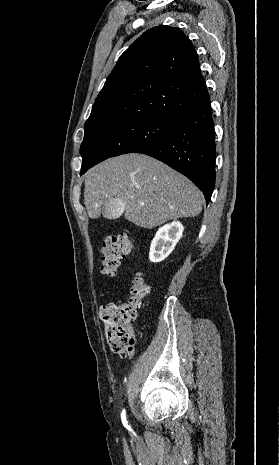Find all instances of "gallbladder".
<instances>
[{
	"instance_id": "gallbladder-1",
	"label": "gallbladder",
	"mask_w": 279,
	"mask_h": 465,
	"mask_svg": "<svg viewBox=\"0 0 279 465\" xmlns=\"http://www.w3.org/2000/svg\"><path fill=\"white\" fill-rule=\"evenodd\" d=\"M123 208L124 201L119 198H113L104 204L102 214L106 219L115 220L122 215Z\"/></svg>"
}]
</instances>
